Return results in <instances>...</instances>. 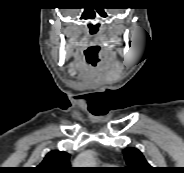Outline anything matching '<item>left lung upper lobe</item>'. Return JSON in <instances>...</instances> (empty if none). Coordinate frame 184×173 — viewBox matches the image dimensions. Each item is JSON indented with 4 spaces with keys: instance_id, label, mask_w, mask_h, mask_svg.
<instances>
[{
    "instance_id": "left-lung-upper-lobe-1",
    "label": "left lung upper lobe",
    "mask_w": 184,
    "mask_h": 173,
    "mask_svg": "<svg viewBox=\"0 0 184 173\" xmlns=\"http://www.w3.org/2000/svg\"><path fill=\"white\" fill-rule=\"evenodd\" d=\"M127 167L125 173H151L152 167L147 163L142 153L136 148H126L123 151Z\"/></svg>"
}]
</instances>
